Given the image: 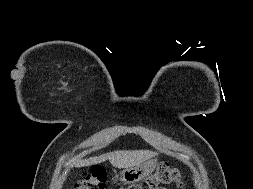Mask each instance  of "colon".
Instances as JSON below:
<instances>
[{"mask_svg":"<svg viewBox=\"0 0 253 189\" xmlns=\"http://www.w3.org/2000/svg\"><path fill=\"white\" fill-rule=\"evenodd\" d=\"M106 172L102 167H94L75 184V189H106ZM178 171L167 163L160 164L157 169L141 181L120 189H160L162 184H178Z\"/></svg>","mask_w":253,"mask_h":189,"instance_id":"colon-1","label":"colon"}]
</instances>
